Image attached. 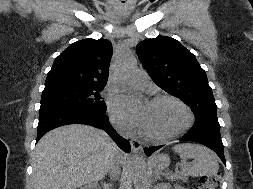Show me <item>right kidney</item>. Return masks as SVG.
I'll return each mask as SVG.
<instances>
[{"instance_id":"1","label":"right kidney","mask_w":253,"mask_h":189,"mask_svg":"<svg viewBox=\"0 0 253 189\" xmlns=\"http://www.w3.org/2000/svg\"><path fill=\"white\" fill-rule=\"evenodd\" d=\"M80 189H100L99 185L96 183L88 184Z\"/></svg>"}]
</instances>
